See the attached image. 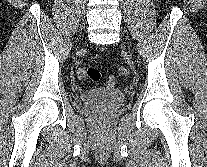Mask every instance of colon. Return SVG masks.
I'll use <instances>...</instances> for the list:
<instances>
[{"label": "colon", "mask_w": 207, "mask_h": 167, "mask_svg": "<svg viewBox=\"0 0 207 167\" xmlns=\"http://www.w3.org/2000/svg\"><path fill=\"white\" fill-rule=\"evenodd\" d=\"M119 74L122 77H127L129 75V70L126 67H121L119 69ZM100 76V71L95 67L81 68L77 71V77L80 80L91 79L93 81H97L100 79ZM106 83L109 87H113L116 84V78L114 76H110L107 78Z\"/></svg>", "instance_id": "1"}]
</instances>
